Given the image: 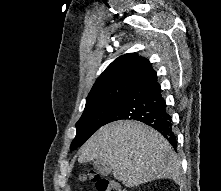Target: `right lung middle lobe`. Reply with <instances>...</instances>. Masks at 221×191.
<instances>
[{"instance_id": "1", "label": "right lung middle lobe", "mask_w": 221, "mask_h": 191, "mask_svg": "<svg viewBox=\"0 0 221 191\" xmlns=\"http://www.w3.org/2000/svg\"><path fill=\"white\" fill-rule=\"evenodd\" d=\"M121 98L111 99L98 104L85 106L84 112L76 123V136L71 150L82 145L96 130L104 125Z\"/></svg>"}]
</instances>
